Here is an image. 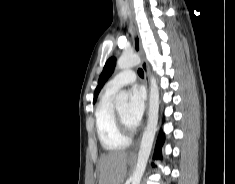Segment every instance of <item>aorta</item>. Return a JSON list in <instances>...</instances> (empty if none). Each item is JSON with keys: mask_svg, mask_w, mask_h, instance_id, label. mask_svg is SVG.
Returning <instances> with one entry per match:
<instances>
[{"mask_svg": "<svg viewBox=\"0 0 235 184\" xmlns=\"http://www.w3.org/2000/svg\"><path fill=\"white\" fill-rule=\"evenodd\" d=\"M141 64V60L137 54H123L117 62V68L119 70H128L132 66H138ZM150 94H149V112L148 122L141 140L140 150L138 152V162L131 176V184H140L141 178L145 172L147 160L150 156L152 144L154 142L155 134L157 132L158 114H159V88L157 86L156 78L150 76ZM129 94L128 92H118L115 98V104L117 106H123L128 104Z\"/></svg>", "mask_w": 235, "mask_h": 184, "instance_id": "obj_1", "label": "aorta"}]
</instances>
